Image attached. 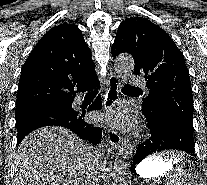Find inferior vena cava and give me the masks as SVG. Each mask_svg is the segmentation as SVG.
<instances>
[{
  "label": "inferior vena cava",
  "mask_w": 207,
  "mask_h": 185,
  "mask_svg": "<svg viewBox=\"0 0 207 185\" xmlns=\"http://www.w3.org/2000/svg\"><path fill=\"white\" fill-rule=\"evenodd\" d=\"M94 165H100V161H96V159H93V167Z\"/></svg>",
  "instance_id": "602c4592"
}]
</instances>
